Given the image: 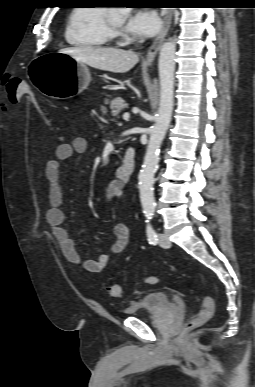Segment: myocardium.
<instances>
[{
    "label": "myocardium",
    "mask_w": 255,
    "mask_h": 387,
    "mask_svg": "<svg viewBox=\"0 0 255 387\" xmlns=\"http://www.w3.org/2000/svg\"><path fill=\"white\" fill-rule=\"evenodd\" d=\"M105 26H106V29H107L111 39L117 38L120 36L121 31L118 27H116L112 23L111 16L108 12H106V14H105Z\"/></svg>",
    "instance_id": "obj_1"
}]
</instances>
